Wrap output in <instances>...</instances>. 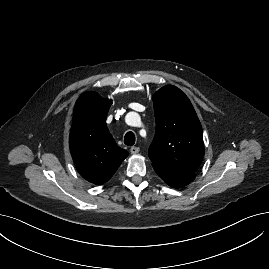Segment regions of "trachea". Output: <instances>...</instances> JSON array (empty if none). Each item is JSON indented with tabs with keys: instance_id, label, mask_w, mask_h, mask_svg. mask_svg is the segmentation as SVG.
I'll list each match as a JSON object with an SVG mask.
<instances>
[{
	"instance_id": "1",
	"label": "trachea",
	"mask_w": 269,
	"mask_h": 269,
	"mask_svg": "<svg viewBox=\"0 0 269 269\" xmlns=\"http://www.w3.org/2000/svg\"><path fill=\"white\" fill-rule=\"evenodd\" d=\"M124 143L127 146H132L135 144V135L133 132L129 131L126 133V135L124 137Z\"/></svg>"
}]
</instances>
